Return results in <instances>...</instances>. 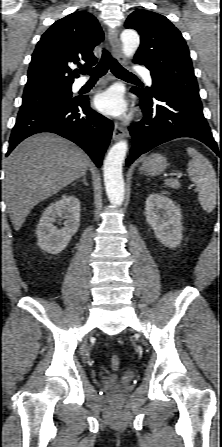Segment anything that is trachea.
Wrapping results in <instances>:
<instances>
[{"mask_svg":"<svg viewBox=\"0 0 222 447\" xmlns=\"http://www.w3.org/2000/svg\"><path fill=\"white\" fill-rule=\"evenodd\" d=\"M109 68L117 77L136 78L134 74L120 66L116 59H114L106 49L103 50L102 58L96 67H80L77 72L80 74H88L91 78H100L106 74Z\"/></svg>","mask_w":222,"mask_h":447,"instance_id":"3493384b","label":"trachea"}]
</instances>
